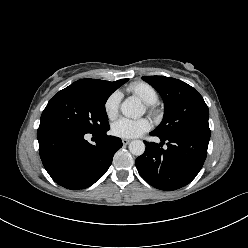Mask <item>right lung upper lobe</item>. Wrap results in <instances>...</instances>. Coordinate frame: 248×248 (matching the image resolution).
<instances>
[{
	"label": "right lung upper lobe",
	"instance_id": "cb5924a9",
	"mask_svg": "<svg viewBox=\"0 0 248 248\" xmlns=\"http://www.w3.org/2000/svg\"><path fill=\"white\" fill-rule=\"evenodd\" d=\"M124 81L125 79L115 82L103 81L99 79H81L72 83L71 85L89 90L101 91L107 89H118L121 85L124 84Z\"/></svg>",
	"mask_w": 248,
	"mask_h": 248
}]
</instances>
